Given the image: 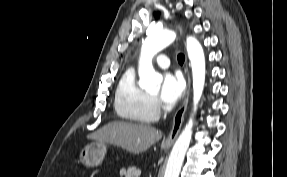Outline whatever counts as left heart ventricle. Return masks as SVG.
<instances>
[{
  "label": "left heart ventricle",
  "instance_id": "1",
  "mask_svg": "<svg viewBox=\"0 0 287 177\" xmlns=\"http://www.w3.org/2000/svg\"><path fill=\"white\" fill-rule=\"evenodd\" d=\"M157 94V91L153 92V95H156Z\"/></svg>",
  "mask_w": 287,
  "mask_h": 177
}]
</instances>
